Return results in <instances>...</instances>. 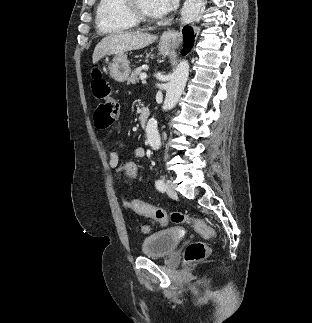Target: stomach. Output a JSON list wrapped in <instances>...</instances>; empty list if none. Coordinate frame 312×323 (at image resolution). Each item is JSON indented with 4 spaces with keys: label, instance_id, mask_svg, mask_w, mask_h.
<instances>
[{
    "label": "stomach",
    "instance_id": "stomach-1",
    "mask_svg": "<svg viewBox=\"0 0 312 323\" xmlns=\"http://www.w3.org/2000/svg\"><path fill=\"white\" fill-rule=\"evenodd\" d=\"M159 50L160 54H163V56H168L169 46L166 38H160ZM129 64L130 62H128L127 56H124V54H122V56H115L112 64L109 66L111 78L116 80V82H125L131 72Z\"/></svg>",
    "mask_w": 312,
    "mask_h": 323
}]
</instances>
